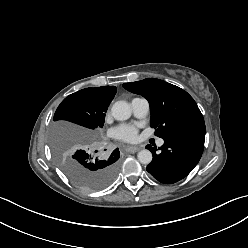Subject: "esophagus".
<instances>
[{
    "mask_svg": "<svg viewBox=\"0 0 248 248\" xmlns=\"http://www.w3.org/2000/svg\"><path fill=\"white\" fill-rule=\"evenodd\" d=\"M141 148L140 147H137V146H129L127 147V151L130 152V153H136L140 150Z\"/></svg>",
    "mask_w": 248,
    "mask_h": 248,
    "instance_id": "34e87169",
    "label": "esophagus"
}]
</instances>
